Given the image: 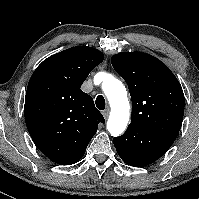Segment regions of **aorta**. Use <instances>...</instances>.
I'll use <instances>...</instances> for the list:
<instances>
[{"label":"aorta","instance_id":"762f6f07","mask_svg":"<svg viewBox=\"0 0 199 199\" xmlns=\"http://www.w3.org/2000/svg\"><path fill=\"white\" fill-rule=\"evenodd\" d=\"M103 79L102 89L108 98L111 113L107 122L109 133L116 137L121 135L129 121L130 105L125 86L109 73H100Z\"/></svg>","mask_w":199,"mask_h":199}]
</instances>
